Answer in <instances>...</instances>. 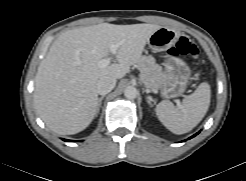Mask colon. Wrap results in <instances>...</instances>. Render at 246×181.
Returning a JSON list of instances; mask_svg holds the SVG:
<instances>
[{"instance_id": "5ec220e1", "label": "colon", "mask_w": 246, "mask_h": 181, "mask_svg": "<svg viewBox=\"0 0 246 181\" xmlns=\"http://www.w3.org/2000/svg\"><path fill=\"white\" fill-rule=\"evenodd\" d=\"M199 51L195 44L186 37H181L171 49L168 50L170 57L190 56L197 58Z\"/></svg>"}]
</instances>
